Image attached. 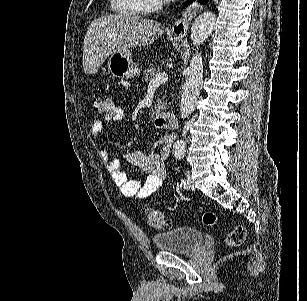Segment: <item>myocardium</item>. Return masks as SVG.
Returning <instances> with one entry per match:
<instances>
[{"instance_id": "obj_1", "label": "myocardium", "mask_w": 307, "mask_h": 301, "mask_svg": "<svg viewBox=\"0 0 307 301\" xmlns=\"http://www.w3.org/2000/svg\"><path fill=\"white\" fill-rule=\"evenodd\" d=\"M151 12H160L159 10H152Z\"/></svg>"}]
</instances>
